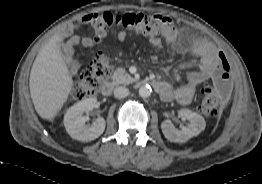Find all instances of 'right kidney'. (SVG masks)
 I'll return each mask as SVG.
<instances>
[{
    "label": "right kidney",
    "mask_w": 262,
    "mask_h": 184,
    "mask_svg": "<svg viewBox=\"0 0 262 184\" xmlns=\"http://www.w3.org/2000/svg\"><path fill=\"white\" fill-rule=\"evenodd\" d=\"M96 98H87L71 106L64 116V126L67 133L76 140L89 142L98 138L105 130V120L97 118L92 125H87L84 112L93 110Z\"/></svg>",
    "instance_id": "ca27d5eb"
}]
</instances>
